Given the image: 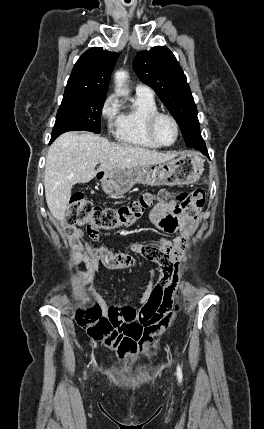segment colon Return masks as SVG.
I'll list each match as a JSON object with an SVG mask.
<instances>
[{
  "mask_svg": "<svg viewBox=\"0 0 264 429\" xmlns=\"http://www.w3.org/2000/svg\"><path fill=\"white\" fill-rule=\"evenodd\" d=\"M175 197L178 207L189 217L195 218L205 203V192L195 189L190 192H180L175 196L167 190L158 194H144L138 199L118 208L95 204L83 194H74L66 215V224L78 229L86 226L87 232L96 235L100 230H112L132 225L141 217L144 211L154 203H164ZM79 230V229H78ZM77 323L85 328L93 344H100L109 349H118L120 354L134 353L135 346L127 344L123 332L130 328L134 320V312L129 306H111L106 315L95 304L91 309H78L75 313Z\"/></svg>",
  "mask_w": 264,
  "mask_h": 429,
  "instance_id": "colon-1",
  "label": "colon"
}]
</instances>
